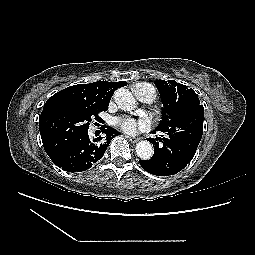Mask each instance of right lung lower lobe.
<instances>
[{"mask_svg": "<svg viewBox=\"0 0 255 255\" xmlns=\"http://www.w3.org/2000/svg\"><path fill=\"white\" fill-rule=\"evenodd\" d=\"M102 135L91 139L88 131L66 143H60L40 130L44 149L50 159L68 172L89 169L104 155L110 140L119 132L110 126H103Z\"/></svg>", "mask_w": 255, "mask_h": 255, "instance_id": "1", "label": "right lung lower lobe"}]
</instances>
